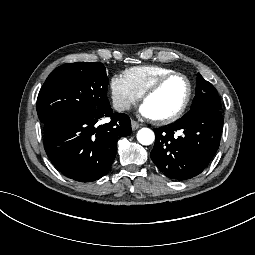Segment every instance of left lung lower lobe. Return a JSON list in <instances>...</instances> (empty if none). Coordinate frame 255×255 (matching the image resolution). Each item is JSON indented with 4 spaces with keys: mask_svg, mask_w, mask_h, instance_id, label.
Wrapping results in <instances>:
<instances>
[{
    "mask_svg": "<svg viewBox=\"0 0 255 255\" xmlns=\"http://www.w3.org/2000/svg\"><path fill=\"white\" fill-rule=\"evenodd\" d=\"M223 128L221 111L198 106L182 118L154 129L151 159L168 178L191 179L204 171L220 144Z\"/></svg>",
    "mask_w": 255,
    "mask_h": 255,
    "instance_id": "1",
    "label": "left lung lower lobe"
}]
</instances>
